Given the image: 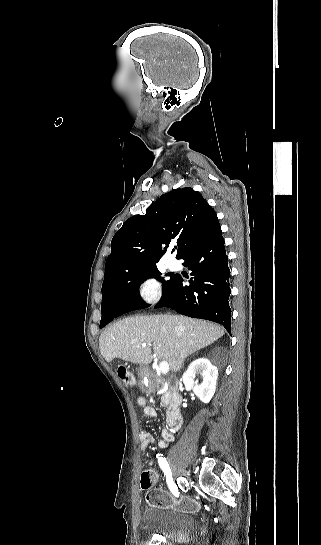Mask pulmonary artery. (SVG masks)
<instances>
[{
    "mask_svg": "<svg viewBox=\"0 0 321 545\" xmlns=\"http://www.w3.org/2000/svg\"><path fill=\"white\" fill-rule=\"evenodd\" d=\"M181 267V264L179 263V261L175 260V259H169L167 261V268L171 271H176V270H179Z\"/></svg>",
    "mask_w": 321,
    "mask_h": 545,
    "instance_id": "1",
    "label": "pulmonary artery"
}]
</instances>
